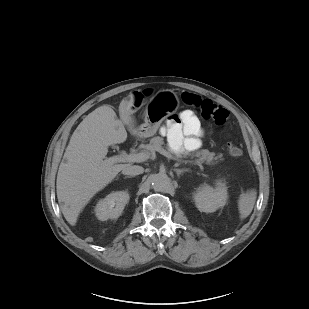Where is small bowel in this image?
<instances>
[{"instance_id":"obj_1","label":"small bowel","mask_w":309,"mask_h":309,"mask_svg":"<svg viewBox=\"0 0 309 309\" xmlns=\"http://www.w3.org/2000/svg\"><path fill=\"white\" fill-rule=\"evenodd\" d=\"M170 147L176 152L196 151L201 146L202 128L191 110H184L167 123Z\"/></svg>"}]
</instances>
